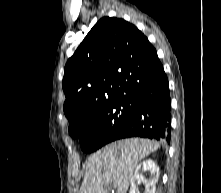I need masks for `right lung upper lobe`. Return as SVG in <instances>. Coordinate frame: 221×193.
Wrapping results in <instances>:
<instances>
[{
  "label": "right lung upper lobe",
  "mask_w": 221,
  "mask_h": 193,
  "mask_svg": "<svg viewBox=\"0 0 221 193\" xmlns=\"http://www.w3.org/2000/svg\"><path fill=\"white\" fill-rule=\"evenodd\" d=\"M147 37L124 19L103 17L89 31L64 69V113L69 129L110 103L134 99L160 65Z\"/></svg>",
  "instance_id": "1"
}]
</instances>
